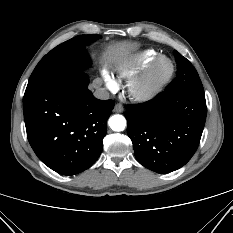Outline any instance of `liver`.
Instances as JSON below:
<instances>
[{
    "label": "liver",
    "instance_id": "liver-1",
    "mask_svg": "<svg viewBox=\"0 0 233 233\" xmlns=\"http://www.w3.org/2000/svg\"><path fill=\"white\" fill-rule=\"evenodd\" d=\"M134 43H119L113 46H109L104 52L103 58L108 62H115L124 66L128 62V56L130 51L135 49Z\"/></svg>",
    "mask_w": 233,
    "mask_h": 233
}]
</instances>
